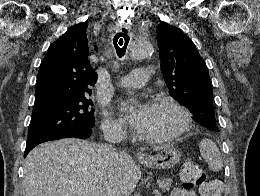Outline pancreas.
<instances>
[{
    "instance_id": "cf45deb5",
    "label": "pancreas",
    "mask_w": 260,
    "mask_h": 196,
    "mask_svg": "<svg viewBox=\"0 0 260 196\" xmlns=\"http://www.w3.org/2000/svg\"><path fill=\"white\" fill-rule=\"evenodd\" d=\"M157 184L162 192H169L172 180H170V178H166V180H157Z\"/></svg>"
}]
</instances>
